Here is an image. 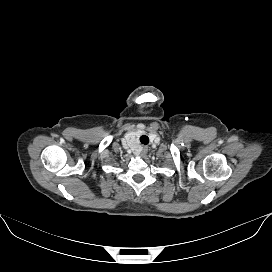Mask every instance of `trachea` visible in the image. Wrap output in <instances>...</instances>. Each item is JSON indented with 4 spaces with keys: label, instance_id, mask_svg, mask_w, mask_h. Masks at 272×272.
Returning a JSON list of instances; mask_svg holds the SVG:
<instances>
[{
    "label": "trachea",
    "instance_id": "1",
    "mask_svg": "<svg viewBox=\"0 0 272 272\" xmlns=\"http://www.w3.org/2000/svg\"><path fill=\"white\" fill-rule=\"evenodd\" d=\"M140 142H141L142 144H144V145H147V144L149 143V138H148V136L142 135V136L140 137Z\"/></svg>",
    "mask_w": 272,
    "mask_h": 272
}]
</instances>
